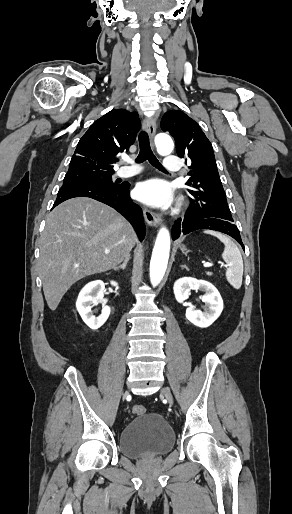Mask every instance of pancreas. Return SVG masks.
I'll return each instance as SVG.
<instances>
[{"instance_id":"1","label":"pancreas","mask_w":292,"mask_h":514,"mask_svg":"<svg viewBox=\"0 0 292 514\" xmlns=\"http://www.w3.org/2000/svg\"><path fill=\"white\" fill-rule=\"evenodd\" d=\"M208 276H211V272H209Z\"/></svg>"}]
</instances>
